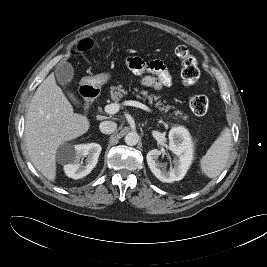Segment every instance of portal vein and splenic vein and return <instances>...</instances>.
Masks as SVG:
<instances>
[{"label":"portal vein and splenic vein","mask_w":267,"mask_h":267,"mask_svg":"<svg viewBox=\"0 0 267 267\" xmlns=\"http://www.w3.org/2000/svg\"><path fill=\"white\" fill-rule=\"evenodd\" d=\"M123 105L134 106V107L140 108L142 110H145L147 112L152 111L148 106H146L145 104L138 102V101H133V100L125 101L123 103ZM119 109H120V105L117 103H112V104L106 105L104 108V110L107 114H115L119 111Z\"/></svg>","instance_id":"portal-vein-and-splenic-vein-1"}]
</instances>
